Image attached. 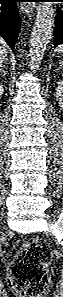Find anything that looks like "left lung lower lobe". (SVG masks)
Returning <instances> with one entry per match:
<instances>
[{"label":"left lung lower lobe","mask_w":63,"mask_h":297,"mask_svg":"<svg viewBox=\"0 0 63 297\" xmlns=\"http://www.w3.org/2000/svg\"><path fill=\"white\" fill-rule=\"evenodd\" d=\"M56 2H63V0H54ZM55 16V30H54V48L63 43V4L58 7Z\"/></svg>","instance_id":"0a47b994"}]
</instances>
